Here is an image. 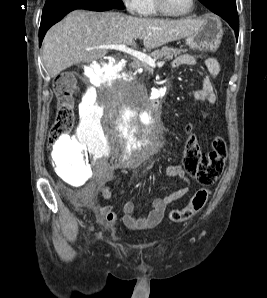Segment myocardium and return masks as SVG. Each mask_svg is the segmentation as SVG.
<instances>
[{"instance_id":"myocardium-1","label":"myocardium","mask_w":267,"mask_h":298,"mask_svg":"<svg viewBox=\"0 0 267 298\" xmlns=\"http://www.w3.org/2000/svg\"><path fill=\"white\" fill-rule=\"evenodd\" d=\"M154 4H155L157 11L160 14L169 16V17H178V18L188 16L189 14L192 13V11L195 8V0H191V5H190L189 9L183 13H174V12L170 11L167 8L164 0H154Z\"/></svg>"}]
</instances>
